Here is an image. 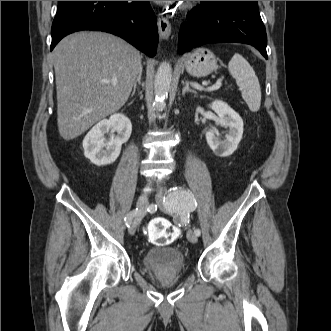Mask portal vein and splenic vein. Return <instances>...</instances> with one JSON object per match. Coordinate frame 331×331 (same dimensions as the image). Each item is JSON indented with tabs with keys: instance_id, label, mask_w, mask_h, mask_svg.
Masks as SVG:
<instances>
[{
	"instance_id": "obj_1",
	"label": "portal vein and splenic vein",
	"mask_w": 331,
	"mask_h": 331,
	"mask_svg": "<svg viewBox=\"0 0 331 331\" xmlns=\"http://www.w3.org/2000/svg\"><path fill=\"white\" fill-rule=\"evenodd\" d=\"M113 84H116V82H113ZM221 85H222V82H221V80L219 79V80H217V82H216L213 86L208 87V88H207V91H214V90H217V89H219V88L221 87Z\"/></svg>"
}]
</instances>
